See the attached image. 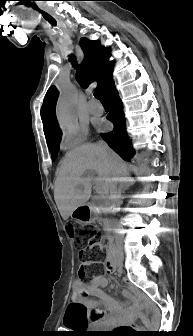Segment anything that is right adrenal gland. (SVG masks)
I'll return each instance as SVG.
<instances>
[{
    "label": "right adrenal gland",
    "mask_w": 193,
    "mask_h": 336,
    "mask_svg": "<svg viewBox=\"0 0 193 336\" xmlns=\"http://www.w3.org/2000/svg\"><path fill=\"white\" fill-rule=\"evenodd\" d=\"M128 180L127 181H124V182H122L121 183V185H120V188H119V190H120V193H121V191L122 190H127L130 186H132L133 184H134V180L133 179H131V178H127Z\"/></svg>",
    "instance_id": "1"
}]
</instances>
